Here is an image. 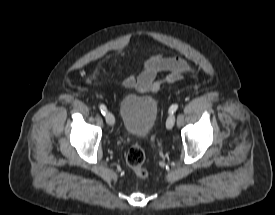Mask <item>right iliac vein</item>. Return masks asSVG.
<instances>
[{
	"label": "right iliac vein",
	"mask_w": 275,
	"mask_h": 215,
	"mask_svg": "<svg viewBox=\"0 0 275 215\" xmlns=\"http://www.w3.org/2000/svg\"><path fill=\"white\" fill-rule=\"evenodd\" d=\"M105 120H106L108 125L113 126L115 124V118H114L113 114L110 113V112H106Z\"/></svg>",
	"instance_id": "obj_1"
}]
</instances>
